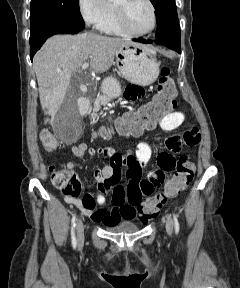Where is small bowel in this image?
<instances>
[{"instance_id":"obj_1","label":"small bowel","mask_w":240,"mask_h":288,"mask_svg":"<svg viewBox=\"0 0 240 288\" xmlns=\"http://www.w3.org/2000/svg\"><path fill=\"white\" fill-rule=\"evenodd\" d=\"M144 96V89L138 85H128L124 90V98L128 101H135ZM185 121V114L182 111H174L165 115L159 122V127L166 132L178 129ZM142 130L131 132L133 135H140ZM198 128L192 127L183 134H172L166 137L165 145L171 153L162 152L157 157L158 167L150 171L146 178L142 179V171L151 158V147L145 142L138 144L134 154L122 155L111 147H102L97 150L98 154L110 159V162L102 169L94 171V178L97 182V190L101 200L111 196V208L96 202L90 195L83 198L66 196L68 203L73 204L81 210L92 221L113 225L120 220H131L136 216L135 208L128 202V193L136 191L142 198L151 195L154 187L163 184L166 174L175 167L174 153H178L183 145L195 146L200 141ZM72 153L76 157H82L86 153L93 156L96 153L94 148L86 143H79L72 146ZM77 164L69 161L65 169L70 174H75ZM126 168V175L129 180L126 188L119 185L121 169Z\"/></svg>"}]
</instances>
